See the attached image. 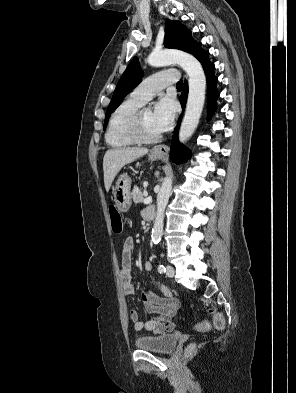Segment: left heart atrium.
I'll return each instance as SVG.
<instances>
[{
  "mask_svg": "<svg viewBox=\"0 0 296 393\" xmlns=\"http://www.w3.org/2000/svg\"><path fill=\"white\" fill-rule=\"evenodd\" d=\"M176 113V104L173 99L163 97L159 99L152 112V124L157 132L166 131L172 124Z\"/></svg>",
  "mask_w": 296,
  "mask_h": 393,
  "instance_id": "left-heart-atrium-1",
  "label": "left heart atrium"
}]
</instances>
